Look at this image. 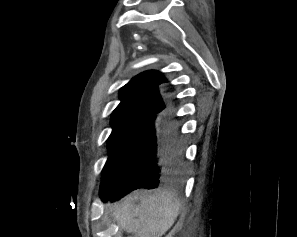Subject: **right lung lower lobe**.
Returning <instances> with one entry per match:
<instances>
[{"instance_id": "1", "label": "right lung lower lobe", "mask_w": 297, "mask_h": 237, "mask_svg": "<svg viewBox=\"0 0 297 237\" xmlns=\"http://www.w3.org/2000/svg\"><path fill=\"white\" fill-rule=\"evenodd\" d=\"M179 127L173 105L155 117L124 164L116 188L100 190L102 201L121 199L138 188L154 189L182 170Z\"/></svg>"}]
</instances>
